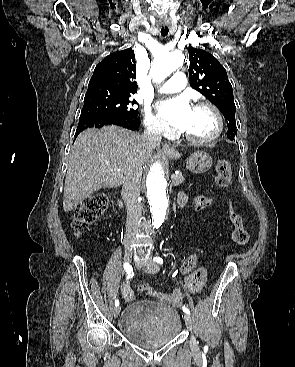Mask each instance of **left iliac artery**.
<instances>
[{"label":"left iliac artery","instance_id":"left-iliac-artery-1","mask_svg":"<svg viewBox=\"0 0 295 367\" xmlns=\"http://www.w3.org/2000/svg\"><path fill=\"white\" fill-rule=\"evenodd\" d=\"M153 260L155 262H157L158 264H163V259L161 257H154ZM182 310L186 313V314H190V310L185 307V306H182Z\"/></svg>","mask_w":295,"mask_h":367}]
</instances>
